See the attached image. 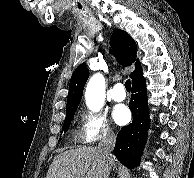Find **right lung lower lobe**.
Segmentation results:
<instances>
[{
    "mask_svg": "<svg viewBox=\"0 0 194 178\" xmlns=\"http://www.w3.org/2000/svg\"><path fill=\"white\" fill-rule=\"evenodd\" d=\"M129 108L133 115V121L118 133L114 155L123 165L133 168L139 164L150 125L144 77L132 83Z\"/></svg>",
    "mask_w": 194,
    "mask_h": 178,
    "instance_id": "98d812e1",
    "label": "right lung lower lobe"
}]
</instances>
